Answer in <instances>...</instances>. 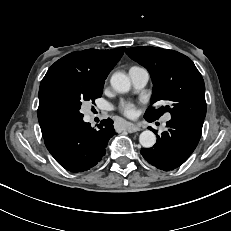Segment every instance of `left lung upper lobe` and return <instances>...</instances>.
<instances>
[{
  "instance_id": "1",
  "label": "left lung upper lobe",
  "mask_w": 231,
  "mask_h": 231,
  "mask_svg": "<svg viewBox=\"0 0 231 231\" xmlns=\"http://www.w3.org/2000/svg\"><path fill=\"white\" fill-rule=\"evenodd\" d=\"M127 55L144 66L153 82L151 105L165 101L166 106H150L145 116L158 119L170 112L171 119L202 129L206 115L205 85L194 63L185 55L151 46L128 48Z\"/></svg>"
}]
</instances>
